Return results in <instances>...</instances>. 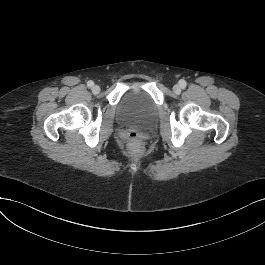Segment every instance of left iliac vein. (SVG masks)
Segmentation results:
<instances>
[{
    "instance_id": "left-iliac-vein-1",
    "label": "left iliac vein",
    "mask_w": 265,
    "mask_h": 265,
    "mask_svg": "<svg viewBox=\"0 0 265 265\" xmlns=\"http://www.w3.org/2000/svg\"><path fill=\"white\" fill-rule=\"evenodd\" d=\"M173 91L176 93V94H179L181 92V86L176 84L174 87H173Z\"/></svg>"
}]
</instances>
